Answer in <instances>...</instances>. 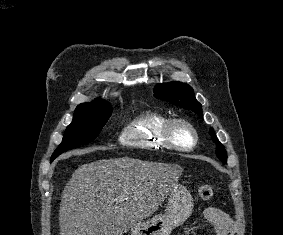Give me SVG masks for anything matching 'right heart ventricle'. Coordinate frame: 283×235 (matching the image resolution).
I'll list each match as a JSON object with an SVG mask.
<instances>
[{
    "label": "right heart ventricle",
    "mask_w": 283,
    "mask_h": 235,
    "mask_svg": "<svg viewBox=\"0 0 283 235\" xmlns=\"http://www.w3.org/2000/svg\"><path fill=\"white\" fill-rule=\"evenodd\" d=\"M170 119L158 110H145L123 129L121 142L143 150L169 149L163 130Z\"/></svg>",
    "instance_id": "e07e8e85"
}]
</instances>
